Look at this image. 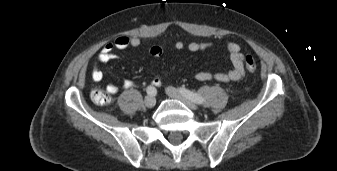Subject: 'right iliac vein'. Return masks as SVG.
<instances>
[{
    "mask_svg": "<svg viewBox=\"0 0 337 171\" xmlns=\"http://www.w3.org/2000/svg\"><path fill=\"white\" fill-rule=\"evenodd\" d=\"M144 103L146 107L152 108L156 104V99L153 95H148L145 97Z\"/></svg>",
    "mask_w": 337,
    "mask_h": 171,
    "instance_id": "obj_1",
    "label": "right iliac vein"
}]
</instances>
